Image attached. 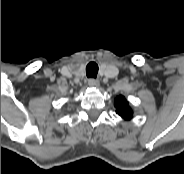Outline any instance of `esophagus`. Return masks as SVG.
Returning a JSON list of instances; mask_svg holds the SVG:
<instances>
[{
  "instance_id": "1",
  "label": "esophagus",
  "mask_w": 184,
  "mask_h": 174,
  "mask_svg": "<svg viewBox=\"0 0 184 174\" xmlns=\"http://www.w3.org/2000/svg\"><path fill=\"white\" fill-rule=\"evenodd\" d=\"M88 85L90 87H98L99 86V81L97 79L91 78L88 80Z\"/></svg>"
}]
</instances>
